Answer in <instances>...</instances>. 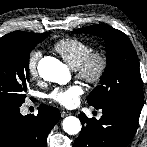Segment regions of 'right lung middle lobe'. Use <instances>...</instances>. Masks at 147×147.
Returning <instances> with one entry per match:
<instances>
[{
    "label": "right lung middle lobe",
    "mask_w": 147,
    "mask_h": 147,
    "mask_svg": "<svg viewBox=\"0 0 147 147\" xmlns=\"http://www.w3.org/2000/svg\"><path fill=\"white\" fill-rule=\"evenodd\" d=\"M50 32L0 38V106H21L29 81V55Z\"/></svg>",
    "instance_id": "obj_1"
}]
</instances>
